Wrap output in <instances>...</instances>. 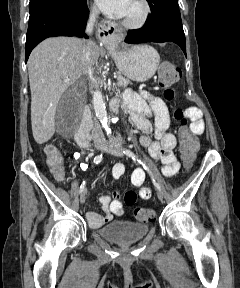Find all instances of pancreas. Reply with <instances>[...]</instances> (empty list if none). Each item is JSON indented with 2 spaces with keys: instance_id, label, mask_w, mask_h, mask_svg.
Returning <instances> with one entry per match:
<instances>
[{
  "instance_id": "obj_1",
  "label": "pancreas",
  "mask_w": 240,
  "mask_h": 288,
  "mask_svg": "<svg viewBox=\"0 0 240 288\" xmlns=\"http://www.w3.org/2000/svg\"><path fill=\"white\" fill-rule=\"evenodd\" d=\"M129 84H131L130 80L125 78L121 73L117 75V85L119 87L126 88Z\"/></svg>"
}]
</instances>
